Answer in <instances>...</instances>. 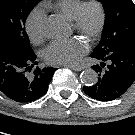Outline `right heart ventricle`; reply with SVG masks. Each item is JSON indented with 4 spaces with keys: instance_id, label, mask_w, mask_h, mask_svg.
Returning a JSON list of instances; mask_svg holds the SVG:
<instances>
[{
    "instance_id": "1",
    "label": "right heart ventricle",
    "mask_w": 135,
    "mask_h": 135,
    "mask_svg": "<svg viewBox=\"0 0 135 135\" xmlns=\"http://www.w3.org/2000/svg\"><path fill=\"white\" fill-rule=\"evenodd\" d=\"M83 0H54L45 6L66 19L72 21Z\"/></svg>"
}]
</instances>
